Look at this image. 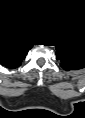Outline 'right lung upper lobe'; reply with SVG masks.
Masks as SVG:
<instances>
[{
    "label": "right lung upper lobe",
    "instance_id": "cb5924a9",
    "mask_svg": "<svg viewBox=\"0 0 85 118\" xmlns=\"http://www.w3.org/2000/svg\"><path fill=\"white\" fill-rule=\"evenodd\" d=\"M22 55V53H19V55L18 56H21Z\"/></svg>",
    "mask_w": 85,
    "mask_h": 118
}]
</instances>
